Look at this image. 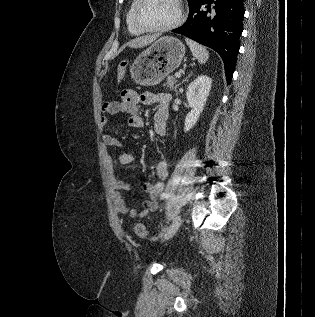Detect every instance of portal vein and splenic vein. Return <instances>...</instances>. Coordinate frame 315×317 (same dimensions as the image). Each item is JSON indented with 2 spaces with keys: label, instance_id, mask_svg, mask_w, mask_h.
<instances>
[{
  "label": "portal vein and splenic vein",
  "instance_id": "18ae733b",
  "mask_svg": "<svg viewBox=\"0 0 315 317\" xmlns=\"http://www.w3.org/2000/svg\"><path fill=\"white\" fill-rule=\"evenodd\" d=\"M181 72H182V71H179V72L175 73V77H176V78H180V77H181Z\"/></svg>",
  "mask_w": 315,
  "mask_h": 317
}]
</instances>
